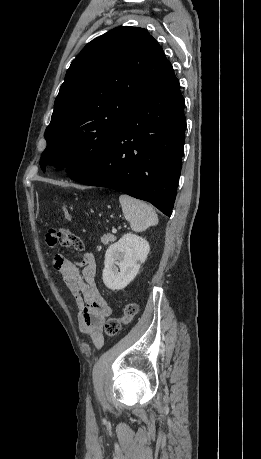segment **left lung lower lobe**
<instances>
[{
    "instance_id": "left-lung-lower-lobe-1",
    "label": "left lung lower lobe",
    "mask_w": 261,
    "mask_h": 459,
    "mask_svg": "<svg viewBox=\"0 0 261 459\" xmlns=\"http://www.w3.org/2000/svg\"><path fill=\"white\" fill-rule=\"evenodd\" d=\"M185 129L184 98L172 69L133 112L98 163L71 179L148 201L171 216Z\"/></svg>"
}]
</instances>
